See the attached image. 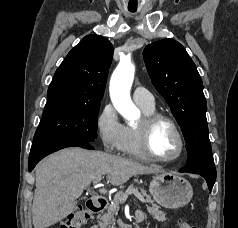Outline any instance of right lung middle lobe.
Returning a JSON list of instances; mask_svg holds the SVG:
<instances>
[{
	"label": "right lung middle lobe",
	"mask_w": 238,
	"mask_h": 228,
	"mask_svg": "<svg viewBox=\"0 0 238 228\" xmlns=\"http://www.w3.org/2000/svg\"><path fill=\"white\" fill-rule=\"evenodd\" d=\"M100 104L72 106L43 114L34 141L81 139L92 142L97 137Z\"/></svg>",
	"instance_id": "1"
}]
</instances>
